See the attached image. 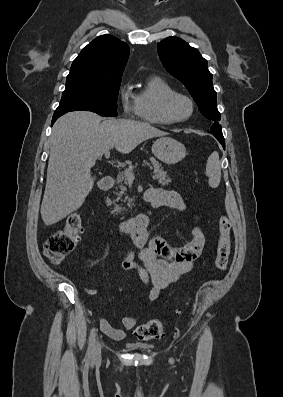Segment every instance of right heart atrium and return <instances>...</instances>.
I'll return each instance as SVG.
<instances>
[{
	"instance_id": "d8ad5b80",
	"label": "right heart atrium",
	"mask_w": 283,
	"mask_h": 397,
	"mask_svg": "<svg viewBox=\"0 0 283 397\" xmlns=\"http://www.w3.org/2000/svg\"><path fill=\"white\" fill-rule=\"evenodd\" d=\"M118 99L125 117L132 118L138 115L136 96L132 93L128 84H123L119 88Z\"/></svg>"
}]
</instances>
